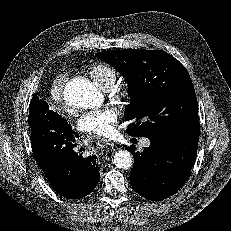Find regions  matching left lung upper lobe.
Returning a JSON list of instances; mask_svg holds the SVG:
<instances>
[{
  "mask_svg": "<svg viewBox=\"0 0 231 231\" xmlns=\"http://www.w3.org/2000/svg\"><path fill=\"white\" fill-rule=\"evenodd\" d=\"M97 56L117 69L129 86L124 118L127 132L147 138L176 139L199 134L198 103L186 68L159 50H112Z\"/></svg>",
  "mask_w": 231,
  "mask_h": 231,
  "instance_id": "left-lung-upper-lobe-1",
  "label": "left lung upper lobe"
}]
</instances>
